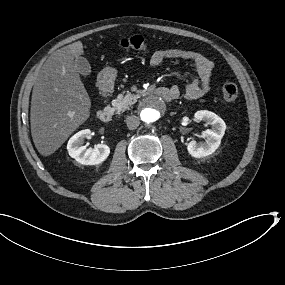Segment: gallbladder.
Instances as JSON below:
<instances>
[{
	"instance_id": "1",
	"label": "gallbladder",
	"mask_w": 285,
	"mask_h": 285,
	"mask_svg": "<svg viewBox=\"0 0 285 285\" xmlns=\"http://www.w3.org/2000/svg\"><path fill=\"white\" fill-rule=\"evenodd\" d=\"M76 66L79 73L83 77H88L91 74V65L89 64L87 59L80 58L76 61Z\"/></svg>"
}]
</instances>
